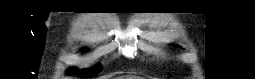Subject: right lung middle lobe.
<instances>
[{
    "label": "right lung middle lobe",
    "instance_id": "obj_1",
    "mask_svg": "<svg viewBox=\"0 0 255 79\" xmlns=\"http://www.w3.org/2000/svg\"><path fill=\"white\" fill-rule=\"evenodd\" d=\"M99 71H100V69L97 70V72H99ZM91 74H92V73H91ZM88 75H89V74H87V76H88Z\"/></svg>",
    "mask_w": 255,
    "mask_h": 79
}]
</instances>
